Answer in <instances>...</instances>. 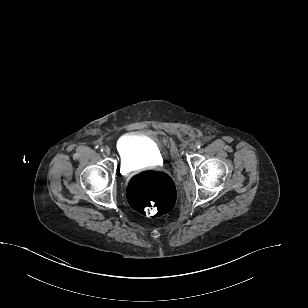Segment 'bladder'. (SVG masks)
Instances as JSON below:
<instances>
[{"label": "bladder", "mask_w": 308, "mask_h": 308, "mask_svg": "<svg viewBox=\"0 0 308 308\" xmlns=\"http://www.w3.org/2000/svg\"><path fill=\"white\" fill-rule=\"evenodd\" d=\"M117 152L125 168L155 165L162 160L158 143L141 132L124 135L117 144Z\"/></svg>", "instance_id": "1"}]
</instances>
